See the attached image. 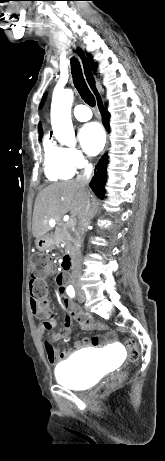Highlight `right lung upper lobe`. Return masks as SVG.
Listing matches in <instances>:
<instances>
[{
    "label": "right lung upper lobe",
    "instance_id": "1",
    "mask_svg": "<svg viewBox=\"0 0 165 461\" xmlns=\"http://www.w3.org/2000/svg\"><path fill=\"white\" fill-rule=\"evenodd\" d=\"M87 56L89 57V60H90V63H91V66H92V69L93 71L95 70V68L97 67V65L92 61V58L91 56L87 53ZM42 106V102L40 104V107ZM38 130H39V134L42 135V129H41V124L39 123L38 125Z\"/></svg>",
    "mask_w": 165,
    "mask_h": 461
}]
</instances>
